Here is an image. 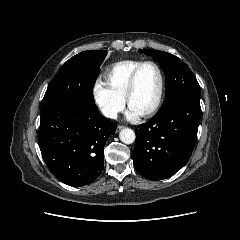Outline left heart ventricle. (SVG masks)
Wrapping results in <instances>:
<instances>
[{
    "label": "left heart ventricle",
    "mask_w": 240,
    "mask_h": 240,
    "mask_svg": "<svg viewBox=\"0 0 240 240\" xmlns=\"http://www.w3.org/2000/svg\"><path fill=\"white\" fill-rule=\"evenodd\" d=\"M159 89V75L151 66H144L137 77L136 88L130 98L129 106L138 113L146 112L155 102Z\"/></svg>",
    "instance_id": "b2bd125f"
}]
</instances>
